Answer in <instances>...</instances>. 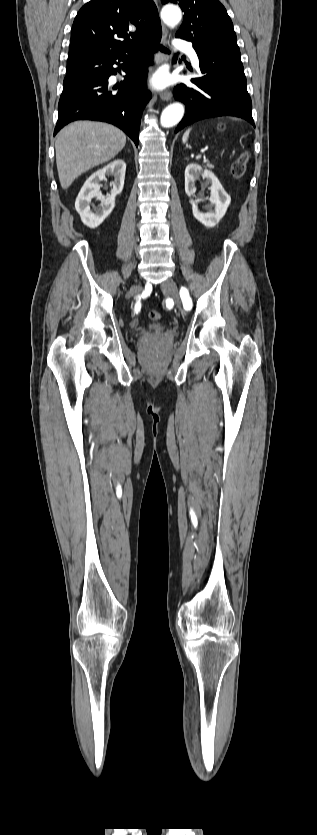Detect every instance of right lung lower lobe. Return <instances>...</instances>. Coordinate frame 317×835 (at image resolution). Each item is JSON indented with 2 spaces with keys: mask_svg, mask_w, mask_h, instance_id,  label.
<instances>
[{
  "mask_svg": "<svg viewBox=\"0 0 317 835\" xmlns=\"http://www.w3.org/2000/svg\"><path fill=\"white\" fill-rule=\"evenodd\" d=\"M161 35L158 32L130 51L116 55H102L97 51L69 55L66 76L88 70L92 77L64 85L54 135L72 121H104L122 129L138 146L142 112L151 98L145 90L147 66L152 64L153 52L157 51L154 44L160 41ZM132 56L135 60L130 62ZM120 61L126 63L122 68L128 77L111 87L108 78L117 74L113 64ZM114 90H118L117 94Z\"/></svg>",
  "mask_w": 317,
  "mask_h": 835,
  "instance_id": "1",
  "label": "right lung lower lobe"
}]
</instances>
